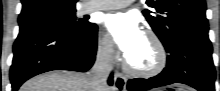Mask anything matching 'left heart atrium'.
Returning <instances> with one entry per match:
<instances>
[{
	"label": "left heart atrium",
	"instance_id": "1",
	"mask_svg": "<svg viewBox=\"0 0 220 91\" xmlns=\"http://www.w3.org/2000/svg\"><path fill=\"white\" fill-rule=\"evenodd\" d=\"M103 24L125 57L138 46L144 37L137 19L127 13L109 14L104 18Z\"/></svg>",
	"mask_w": 220,
	"mask_h": 91
}]
</instances>
